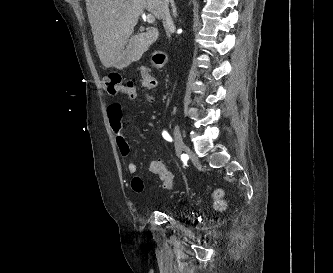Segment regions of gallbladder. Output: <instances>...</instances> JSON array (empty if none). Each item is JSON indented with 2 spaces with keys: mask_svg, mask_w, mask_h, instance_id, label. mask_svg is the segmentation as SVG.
Here are the masks:
<instances>
[{
  "mask_svg": "<svg viewBox=\"0 0 333 273\" xmlns=\"http://www.w3.org/2000/svg\"><path fill=\"white\" fill-rule=\"evenodd\" d=\"M145 34L133 36L123 51L121 58L114 64L118 69L128 67L132 62L138 61L148 49L149 44L145 41Z\"/></svg>",
  "mask_w": 333,
  "mask_h": 273,
  "instance_id": "gallbladder-1",
  "label": "gallbladder"
}]
</instances>
